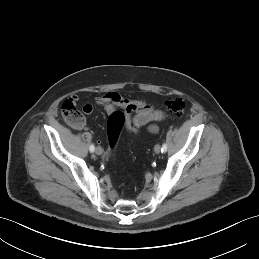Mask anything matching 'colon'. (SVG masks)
<instances>
[{
    "label": "colon",
    "mask_w": 259,
    "mask_h": 259,
    "mask_svg": "<svg viewBox=\"0 0 259 259\" xmlns=\"http://www.w3.org/2000/svg\"><path fill=\"white\" fill-rule=\"evenodd\" d=\"M166 107L173 116L179 117L184 113L186 103L182 98L176 97L166 101ZM61 115L64 121L73 127H79L84 123L83 112L77 107L73 98H67L62 102ZM126 122L127 116L122 110H115L108 118L107 137L109 142V158L113 157L115 147Z\"/></svg>",
    "instance_id": "5ec220e1"
}]
</instances>
